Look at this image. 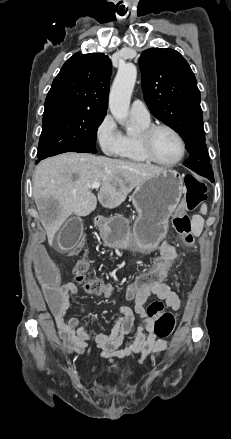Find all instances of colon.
Returning <instances> with one entry per match:
<instances>
[{
    "mask_svg": "<svg viewBox=\"0 0 231 439\" xmlns=\"http://www.w3.org/2000/svg\"><path fill=\"white\" fill-rule=\"evenodd\" d=\"M186 188L185 197L173 218V225L177 233L182 237L184 243L191 245L193 243L192 221L187 211L195 209L205 198L206 185L192 175H186L184 178ZM88 238L81 235L76 241L75 246L82 249L87 243ZM38 255L36 256V273L38 283L43 289V294L47 298V311L49 313H60L63 308V294L57 293L58 283L61 277L58 271L50 265L48 250L44 246L37 247ZM176 263L175 257H162L151 260L148 268L140 270L139 276H135L134 282L128 289H125V298H136L139 287L146 286L149 283H168L165 279L168 273L172 272L173 264ZM89 264L85 259L77 261L73 268L75 279L82 283L85 289L94 294L111 295L113 288L110 284L100 278H87ZM153 295V294H151ZM148 297V296H147ZM175 319L170 312L161 311L154 319L153 332L156 337L164 339L173 331Z\"/></svg>",
    "mask_w": 231,
    "mask_h": 439,
    "instance_id": "obj_1",
    "label": "colon"
}]
</instances>
